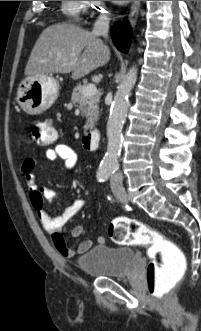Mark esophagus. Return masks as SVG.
Returning <instances> with one entry per match:
<instances>
[{
    "mask_svg": "<svg viewBox=\"0 0 201 331\" xmlns=\"http://www.w3.org/2000/svg\"><path fill=\"white\" fill-rule=\"evenodd\" d=\"M139 8H140V1H133L129 13V22L132 26L136 24Z\"/></svg>",
    "mask_w": 201,
    "mask_h": 331,
    "instance_id": "obj_1",
    "label": "esophagus"
}]
</instances>
